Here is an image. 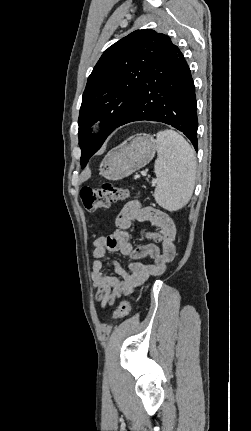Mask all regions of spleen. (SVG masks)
I'll return each instance as SVG.
<instances>
[{
    "mask_svg": "<svg viewBox=\"0 0 251 431\" xmlns=\"http://www.w3.org/2000/svg\"><path fill=\"white\" fill-rule=\"evenodd\" d=\"M156 149L154 198L166 210H179L189 202L195 187L194 150L180 134L169 129L157 133Z\"/></svg>",
    "mask_w": 251,
    "mask_h": 431,
    "instance_id": "1",
    "label": "spleen"
}]
</instances>
